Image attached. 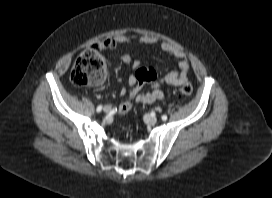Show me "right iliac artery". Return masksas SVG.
<instances>
[{"mask_svg": "<svg viewBox=\"0 0 272 198\" xmlns=\"http://www.w3.org/2000/svg\"><path fill=\"white\" fill-rule=\"evenodd\" d=\"M102 110V105H99L96 109L97 112H100Z\"/></svg>", "mask_w": 272, "mask_h": 198, "instance_id": "right-iliac-artery-1", "label": "right iliac artery"}]
</instances>
